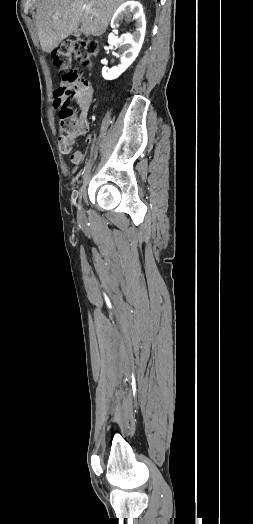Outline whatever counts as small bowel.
<instances>
[{
  "mask_svg": "<svg viewBox=\"0 0 253 524\" xmlns=\"http://www.w3.org/2000/svg\"><path fill=\"white\" fill-rule=\"evenodd\" d=\"M92 95L93 93L85 97H76V102L80 110V128L75 133L71 134L70 138H67V137L59 138V146H60L61 152L65 155H68L72 163L74 164L81 163L83 159V153L75 149L73 145V138L77 134L86 132L88 129V124L86 121V113L91 104ZM62 96H63V91L61 89H56L54 91V97H55L56 104L59 103V101L62 99Z\"/></svg>",
  "mask_w": 253,
  "mask_h": 524,
  "instance_id": "obj_1",
  "label": "small bowel"
}]
</instances>
